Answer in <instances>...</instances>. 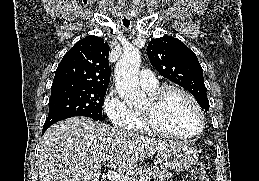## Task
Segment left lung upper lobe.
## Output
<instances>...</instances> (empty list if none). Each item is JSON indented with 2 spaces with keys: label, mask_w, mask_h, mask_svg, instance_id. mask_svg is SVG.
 <instances>
[{
  "label": "left lung upper lobe",
  "mask_w": 259,
  "mask_h": 181,
  "mask_svg": "<svg viewBox=\"0 0 259 181\" xmlns=\"http://www.w3.org/2000/svg\"><path fill=\"white\" fill-rule=\"evenodd\" d=\"M147 55L163 77L188 90L201 108L209 110L203 69L192 50L177 38L163 36L149 42Z\"/></svg>",
  "instance_id": "obj_1"
}]
</instances>
